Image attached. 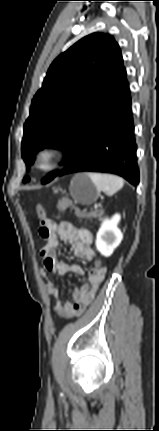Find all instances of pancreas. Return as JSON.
<instances>
[{"label":"pancreas","mask_w":159,"mask_h":431,"mask_svg":"<svg viewBox=\"0 0 159 431\" xmlns=\"http://www.w3.org/2000/svg\"><path fill=\"white\" fill-rule=\"evenodd\" d=\"M100 215L97 212H92L90 214L87 215V217L91 218V217H99Z\"/></svg>","instance_id":"pancreas-1"}]
</instances>
